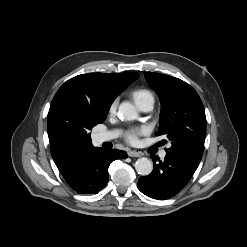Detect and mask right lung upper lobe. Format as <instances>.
Returning <instances> with one entry per match:
<instances>
[{"label":"right lung upper lobe","instance_id":"right-lung-upper-lobe-1","mask_svg":"<svg viewBox=\"0 0 247 247\" xmlns=\"http://www.w3.org/2000/svg\"><path fill=\"white\" fill-rule=\"evenodd\" d=\"M139 77L129 73H89L66 81L55 94L48 113L47 128L51 154L58 169L74 155L92 146L76 143L64 135L55 123L57 107L63 103L87 106L95 111L109 110L115 98Z\"/></svg>","mask_w":247,"mask_h":247}]
</instances>
